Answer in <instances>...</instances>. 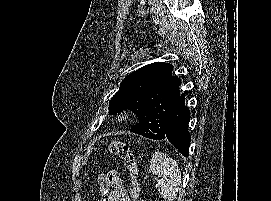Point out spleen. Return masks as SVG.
I'll list each match as a JSON object with an SVG mask.
<instances>
[{"label":"spleen","mask_w":271,"mask_h":201,"mask_svg":"<svg viewBox=\"0 0 271 201\" xmlns=\"http://www.w3.org/2000/svg\"><path fill=\"white\" fill-rule=\"evenodd\" d=\"M150 171L158 175V192L167 201H174L181 186V172L175 160L156 151L151 158Z\"/></svg>","instance_id":"1"}]
</instances>
